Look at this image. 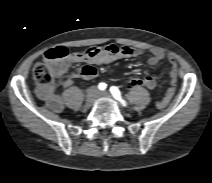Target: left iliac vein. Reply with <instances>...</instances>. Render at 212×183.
Masks as SVG:
<instances>
[{"label": "left iliac vein", "instance_id": "left-iliac-vein-1", "mask_svg": "<svg viewBox=\"0 0 212 183\" xmlns=\"http://www.w3.org/2000/svg\"><path fill=\"white\" fill-rule=\"evenodd\" d=\"M100 96L109 98L110 95L107 92H101Z\"/></svg>", "mask_w": 212, "mask_h": 183}]
</instances>
